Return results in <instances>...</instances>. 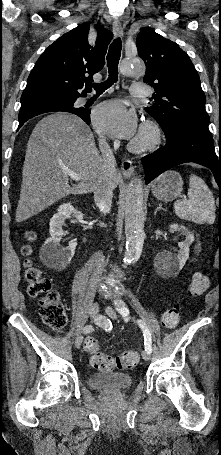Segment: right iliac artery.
Masks as SVG:
<instances>
[{"instance_id":"1","label":"right iliac artery","mask_w":221,"mask_h":455,"mask_svg":"<svg viewBox=\"0 0 221 455\" xmlns=\"http://www.w3.org/2000/svg\"><path fill=\"white\" fill-rule=\"evenodd\" d=\"M96 321V324H98L100 326V328L102 330H104V332H106V334H114V329H112L110 323H109V320H106V319H102V317H98L97 319H95ZM93 331V326L92 325H87L84 327L83 329V332L84 333H90Z\"/></svg>"}]
</instances>
